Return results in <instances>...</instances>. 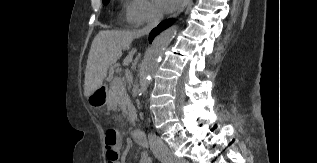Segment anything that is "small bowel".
<instances>
[{
    "instance_id": "small-bowel-1",
    "label": "small bowel",
    "mask_w": 317,
    "mask_h": 163,
    "mask_svg": "<svg viewBox=\"0 0 317 163\" xmlns=\"http://www.w3.org/2000/svg\"><path fill=\"white\" fill-rule=\"evenodd\" d=\"M139 163H152L151 157L147 153L143 152L140 154Z\"/></svg>"
}]
</instances>
